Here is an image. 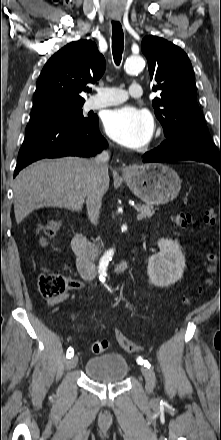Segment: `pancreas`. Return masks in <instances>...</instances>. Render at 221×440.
I'll return each mask as SVG.
<instances>
[{
  "instance_id": "obj_1",
  "label": "pancreas",
  "mask_w": 221,
  "mask_h": 440,
  "mask_svg": "<svg viewBox=\"0 0 221 440\" xmlns=\"http://www.w3.org/2000/svg\"><path fill=\"white\" fill-rule=\"evenodd\" d=\"M135 209L143 215V218H150L155 213V209L152 205H137ZM87 253L95 256L97 254V248L91 246Z\"/></svg>"
}]
</instances>
